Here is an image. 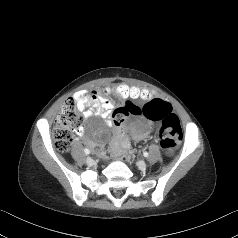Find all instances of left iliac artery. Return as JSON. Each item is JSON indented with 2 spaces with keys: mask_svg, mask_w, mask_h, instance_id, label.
I'll list each match as a JSON object with an SVG mask.
<instances>
[{
  "mask_svg": "<svg viewBox=\"0 0 238 238\" xmlns=\"http://www.w3.org/2000/svg\"><path fill=\"white\" fill-rule=\"evenodd\" d=\"M143 155H144V157H148L149 154H148V152H144Z\"/></svg>",
  "mask_w": 238,
  "mask_h": 238,
  "instance_id": "44dca946",
  "label": "left iliac artery"
}]
</instances>
